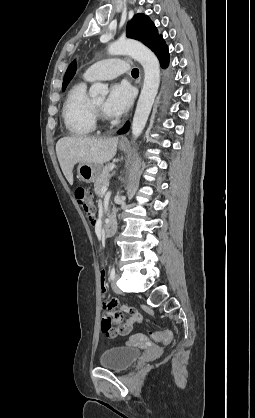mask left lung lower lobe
<instances>
[{"mask_svg":"<svg viewBox=\"0 0 255 418\" xmlns=\"http://www.w3.org/2000/svg\"><path fill=\"white\" fill-rule=\"evenodd\" d=\"M154 53L157 55L160 65L162 68H166L169 65V52L168 47L165 43V41L154 51ZM129 122H127L119 131L118 134H123L128 131L129 129Z\"/></svg>","mask_w":255,"mask_h":418,"instance_id":"obj_1","label":"left lung lower lobe"}]
</instances>
